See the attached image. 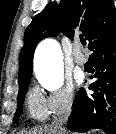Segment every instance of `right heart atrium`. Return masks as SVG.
Here are the masks:
<instances>
[{"label": "right heart atrium", "mask_w": 116, "mask_h": 134, "mask_svg": "<svg viewBox=\"0 0 116 134\" xmlns=\"http://www.w3.org/2000/svg\"><path fill=\"white\" fill-rule=\"evenodd\" d=\"M34 91L42 99L47 115L55 116L68 112L74 103V90L70 84L61 86L48 94H43L39 90Z\"/></svg>", "instance_id": "d8ad5b80"}]
</instances>
